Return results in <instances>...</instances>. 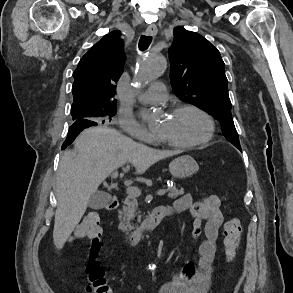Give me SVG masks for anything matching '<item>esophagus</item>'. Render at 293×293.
<instances>
[{
	"mask_svg": "<svg viewBox=\"0 0 293 293\" xmlns=\"http://www.w3.org/2000/svg\"><path fill=\"white\" fill-rule=\"evenodd\" d=\"M157 27L156 25H149L145 31L146 35L155 36L157 34Z\"/></svg>",
	"mask_w": 293,
	"mask_h": 293,
	"instance_id": "1",
	"label": "esophagus"
}]
</instances>
